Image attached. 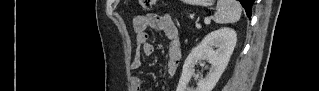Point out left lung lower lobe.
Here are the masks:
<instances>
[{"mask_svg":"<svg viewBox=\"0 0 319 91\" xmlns=\"http://www.w3.org/2000/svg\"><path fill=\"white\" fill-rule=\"evenodd\" d=\"M239 1L245 8L247 16L250 18L252 15V5L254 3V0H239Z\"/></svg>","mask_w":319,"mask_h":91,"instance_id":"1","label":"left lung lower lobe"}]
</instances>
